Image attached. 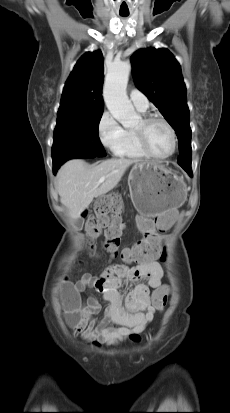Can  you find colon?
I'll return each instance as SVG.
<instances>
[{
  "label": "colon",
  "instance_id": "5ec220e1",
  "mask_svg": "<svg viewBox=\"0 0 230 413\" xmlns=\"http://www.w3.org/2000/svg\"><path fill=\"white\" fill-rule=\"evenodd\" d=\"M124 200L120 192H100L99 201L95 204L93 215L89 216L86 222V232L90 238L97 237L102 230H105L104 249L113 256L119 255L126 262H144L159 258L166 261V251L161 247L160 231H144L146 239L132 247L124 248L119 253L121 238L124 232L122 206ZM88 207L81 210L82 216L88 215ZM93 250V246L90 247ZM167 295L157 293L153 295V303L162 310L167 302ZM65 307L69 311L77 309V297L70 296Z\"/></svg>",
  "mask_w": 230,
  "mask_h": 413
}]
</instances>
